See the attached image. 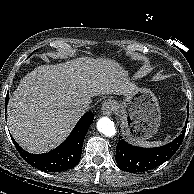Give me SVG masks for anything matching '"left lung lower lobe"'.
I'll use <instances>...</instances> for the list:
<instances>
[{"label": "left lung lower lobe", "instance_id": "0a47b994", "mask_svg": "<svg viewBox=\"0 0 194 194\" xmlns=\"http://www.w3.org/2000/svg\"><path fill=\"white\" fill-rule=\"evenodd\" d=\"M189 106V105H187ZM188 119L181 134L167 145L156 148H142L132 146L124 140H119L117 144L116 162L118 166L126 172H143L151 170L164 163L180 147L187 127Z\"/></svg>", "mask_w": 194, "mask_h": 194}]
</instances>
